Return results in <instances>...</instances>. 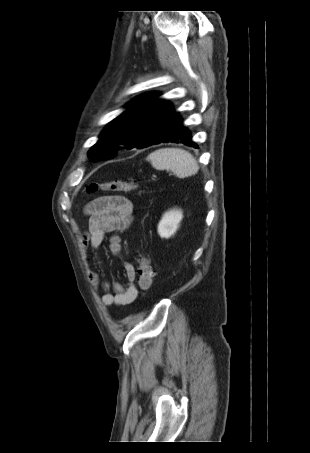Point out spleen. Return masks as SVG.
<instances>
[{"label": "spleen", "instance_id": "spleen-1", "mask_svg": "<svg viewBox=\"0 0 310 453\" xmlns=\"http://www.w3.org/2000/svg\"><path fill=\"white\" fill-rule=\"evenodd\" d=\"M156 170H170L177 177L185 178L195 175L199 166L194 156L180 148H161L147 157Z\"/></svg>", "mask_w": 310, "mask_h": 453}]
</instances>
